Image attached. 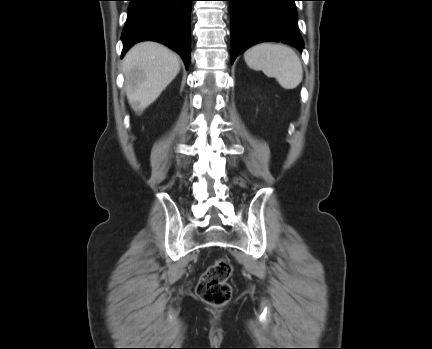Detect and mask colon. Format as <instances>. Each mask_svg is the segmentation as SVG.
I'll return each mask as SVG.
<instances>
[{"instance_id": "colon-1", "label": "colon", "mask_w": 432, "mask_h": 349, "mask_svg": "<svg viewBox=\"0 0 432 349\" xmlns=\"http://www.w3.org/2000/svg\"><path fill=\"white\" fill-rule=\"evenodd\" d=\"M232 274L233 266L230 260L217 259L201 276L196 288L198 296L208 304L225 305L232 295V289L228 283Z\"/></svg>"}]
</instances>
